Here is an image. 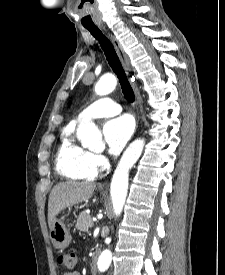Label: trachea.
<instances>
[{"label":"trachea","mask_w":225,"mask_h":275,"mask_svg":"<svg viewBox=\"0 0 225 275\" xmlns=\"http://www.w3.org/2000/svg\"><path fill=\"white\" fill-rule=\"evenodd\" d=\"M86 29L99 41L110 67L119 79L124 97L128 102H133L135 99L133 89L111 42L97 27H86Z\"/></svg>","instance_id":"3493384b"}]
</instances>
